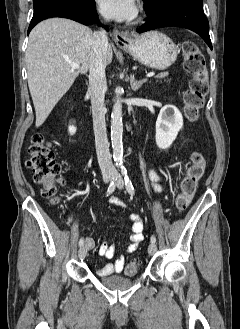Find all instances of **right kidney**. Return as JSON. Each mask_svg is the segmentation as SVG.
I'll list each match as a JSON object with an SVG mask.
<instances>
[{
    "label": "right kidney",
    "instance_id": "obj_1",
    "mask_svg": "<svg viewBox=\"0 0 240 329\" xmlns=\"http://www.w3.org/2000/svg\"><path fill=\"white\" fill-rule=\"evenodd\" d=\"M75 123V121H71L70 122V126H69V128H68V130H69V133L71 134V135H73V134H75L76 133V127L73 125Z\"/></svg>",
    "mask_w": 240,
    "mask_h": 329
}]
</instances>
